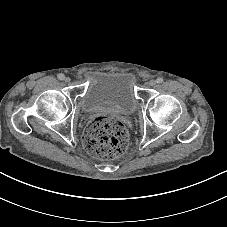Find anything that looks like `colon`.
<instances>
[{"label": "colon", "instance_id": "colon-1", "mask_svg": "<svg viewBox=\"0 0 227 227\" xmlns=\"http://www.w3.org/2000/svg\"><path fill=\"white\" fill-rule=\"evenodd\" d=\"M84 144L88 153L95 157L115 159L126 151L128 133L120 121L111 117H97L86 128Z\"/></svg>", "mask_w": 227, "mask_h": 227}]
</instances>
